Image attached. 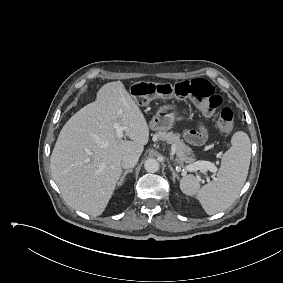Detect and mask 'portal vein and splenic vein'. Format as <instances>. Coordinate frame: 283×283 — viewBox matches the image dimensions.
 <instances>
[{
    "mask_svg": "<svg viewBox=\"0 0 283 283\" xmlns=\"http://www.w3.org/2000/svg\"><path fill=\"white\" fill-rule=\"evenodd\" d=\"M115 129H116V133L118 135L119 138H123V131L126 129V127H122L118 124H115ZM203 169L205 171L210 170L211 172H216L217 171V167L209 162V161H197L191 165L187 166V170L188 171H197Z\"/></svg>",
    "mask_w": 283,
    "mask_h": 283,
    "instance_id": "obj_1",
    "label": "portal vein and splenic vein"
}]
</instances>
